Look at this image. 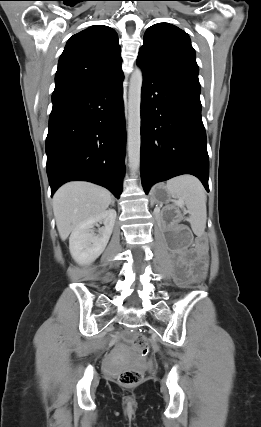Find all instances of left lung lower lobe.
<instances>
[{"label": "left lung lower lobe", "instance_id": "0a47b994", "mask_svg": "<svg viewBox=\"0 0 261 427\" xmlns=\"http://www.w3.org/2000/svg\"><path fill=\"white\" fill-rule=\"evenodd\" d=\"M137 64L143 72L140 171L145 193L181 174L196 176L209 192L199 80Z\"/></svg>", "mask_w": 261, "mask_h": 427}]
</instances>
